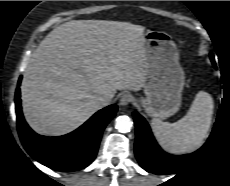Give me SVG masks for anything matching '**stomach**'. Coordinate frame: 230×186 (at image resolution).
Returning <instances> with one entry per match:
<instances>
[{
  "mask_svg": "<svg viewBox=\"0 0 230 186\" xmlns=\"http://www.w3.org/2000/svg\"><path fill=\"white\" fill-rule=\"evenodd\" d=\"M144 39L146 98L140 103L149 116L165 119L181 106L185 74L176 45L167 33L148 30Z\"/></svg>",
  "mask_w": 230,
  "mask_h": 186,
  "instance_id": "0dacf381",
  "label": "stomach"
}]
</instances>
